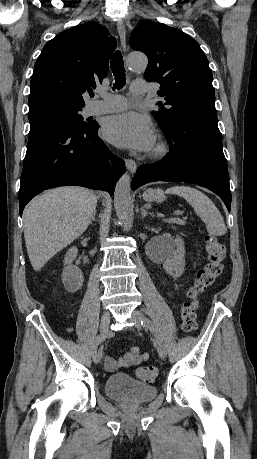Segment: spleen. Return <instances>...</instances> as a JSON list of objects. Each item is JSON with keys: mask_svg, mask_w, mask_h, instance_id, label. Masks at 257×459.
Masks as SVG:
<instances>
[{"mask_svg": "<svg viewBox=\"0 0 257 459\" xmlns=\"http://www.w3.org/2000/svg\"><path fill=\"white\" fill-rule=\"evenodd\" d=\"M166 192L184 198L205 223L210 235L223 236L226 234L227 228L220 211L203 192L190 186H174Z\"/></svg>", "mask_w": 257, "mask_h": 459, "instance_id": "3e777b00", "label": "spleen"}]
</instances>
